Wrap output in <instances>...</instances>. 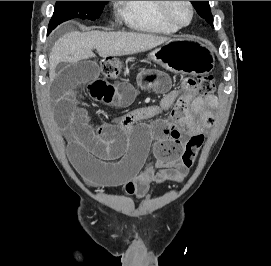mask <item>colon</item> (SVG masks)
<instances>
[{
    "label": "colon",
    "mask_w": 271,
    "mask_h": 266,
    "mask_svg": "<svg viewBox=\"0 0 271 266\" xmlns=\"http://www.w3.org/2000/svg\"><path fill=\"white\" fill-rule=\"evenodd\" d=\"M101 74L105 78H113L122 71V63L116 59H105L98 62ZM215 88L214 77L211 74H205L198 77H188L183 80L182 90L185 96L207 97L211 95ZM204 134L201 132L193 134L184 144V150L181 156L182 166L189 169L193 166L199 150L204 143Z\"/></svg>",
    "instance_id": "colon-1"
}]
</instances>
